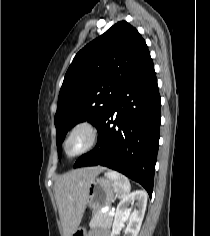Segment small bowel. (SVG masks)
I'll use <instances>...</instances> for the list:
<instances>
[{"instance_id": "obj_1", "label": "small bowel", "mask_w": 210, "mask_h": 236, "mask_svg": "<svg viewBox=\"0 0 210 236\" xmlns=\"http://www.w3.org/2000/svg\"><path fill=\"white\" fill-rule=\"evenodd\" d=\"M90 236H109V235L103 232H92Z\"/></svg>"}]
</instances>
